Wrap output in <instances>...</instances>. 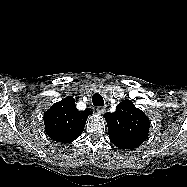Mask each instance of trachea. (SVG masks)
<instances>
[{"mask_svg":"<svg viewBox=\"0 0 187 187\" xmlns=\"http://www.w3.org/2000/svg\"><path fill=\"white\" fill-rule=\"evenodd\" d=\"M94 106H104L103 97L99 93H95L92 98Z\"/></svg>","mask_w":187,"mask_h":187,"instance_id":"trachea-1","label":"trachea"}]
</instances>
